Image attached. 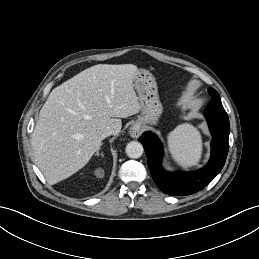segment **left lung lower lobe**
I'll use <instances>...</instances> for the list:
<instances>
[{"label": "left lung lower lobe", "instance_id": "obj_1", "mask_svg": "<svg viewBox=\"0 0 259 259\" xmlns=\"http://www.w3.org/2000/svg\"><path fill=\"white\" fill-rule=\"evenodd\" d=\"M212 97L205 116L212 134L211 158L207 165L199 171L173 174L161 167L162 145L157 136L144 132L138 139L146 152L148 167L156 185L164 193L176 196L194 194L206 187L222 170L229 149V118L222 106L220 96L214 89H209Z\"/></svg>", "mask_w": 259, "mask_h": 259}]
</instances>
